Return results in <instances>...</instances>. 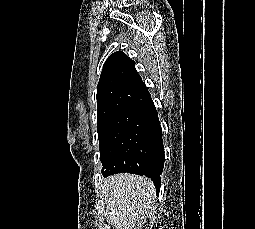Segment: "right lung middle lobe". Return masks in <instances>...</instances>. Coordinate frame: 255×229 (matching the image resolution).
<instances>
[{
    "label": "right lung middle lobe",
    "instance_id": "obj_1",
    "mask_svg": "<svg viewBox=\"0 0 255 229\" xmlns=\"http://www.w3.org/2000/svg\"><path fill=\"white\" fill-rule=\"evenodd\" d=\"M156 132L125 113L98 127L102 175L107 177L146 164Z\"/></svg>",
    "mask_w": 255,
    "mask_h": 229
}]
</instances>
